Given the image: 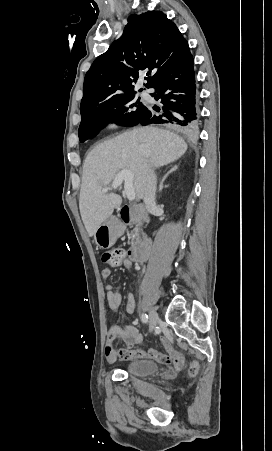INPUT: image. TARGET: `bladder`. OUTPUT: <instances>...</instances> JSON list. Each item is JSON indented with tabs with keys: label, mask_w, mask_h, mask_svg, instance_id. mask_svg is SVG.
Wrapping results in <instances>:
<instances>
[{
	"label": "bladder",
	"mask_w": 272,
	"mask_h": 451,
	"mask_svg": "<svg viewBox=\"0 0 272 451\" xmlns=\"http://www.w3.org/2000/svg\"><path fill=\"white\" fill-rule=\"evenodd\" d=\"M158 368L159 365L149 359H131L124 364V371L127 375L134 377H145L156 374L158 372Z\"/></svg>",
	"instance_id": "31cf9c89"
}]
</instances>
